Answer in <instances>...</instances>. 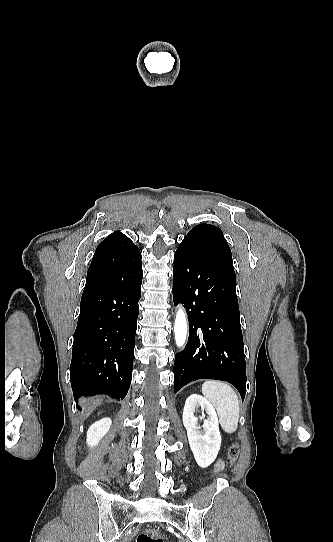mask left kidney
Here are the masks:
<instances>
[{
  "label": "left kidney",
  "mask_w": 333,
  "mask_h": 542,
  "mask_svg": "<svg viewBox=\"0 0 333 542\" xmlns=\"http://www.w3.org/2000/svg\"><path fill=\"white\" fill-rule=\"evenodd\" d=\"M199 406L208 414L207 420H204V424L201 426L203 430H200L198 418L194 416V412ZM182 420L198 466L208 468L216 460L221 446L218 418L212 404L199 394H191L185 402Z\"/></svg>",
  "instance_id": "1"
}]
</instances>
